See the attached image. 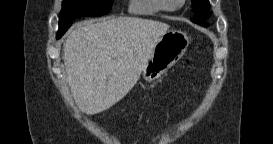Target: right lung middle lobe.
I'll return each instance as SVG.
<instances>
[{"label":"right lung middle lobe","mask_w":273,"mask_h":144,"mask_svg":"<svg viewBox=\"0 0 273 144\" xmlns=\"http://www.w3.org/2000/svg\"><path fill=\"white\" fill-rule=\"evenodd\" d=\"M113 0H63L57 39L71 26L72 20L83 16H100L111 10Z\"/></svg>","instance_id":"dd1d6c3e"}]
</instances>
